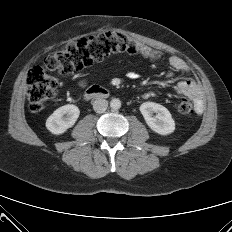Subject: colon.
<instances>
[{
    "instance_id": "obj_1",
    "label": "colon",
    "mask_w": 232,
    "mask_h": 232,
    "mask_svg": "<svg viewBox=\"0 0 232 232\" xmlns=\"http://www.w3.org/2000/svg\"><path fill=\"white\" fill-rule=\"evenodd\" d=\"M120 52L141 53L151 59L160 56L157 50L118 31L69 42L50 53L42 65L35 66L28 72L26 84L30 110L40 111L57 93L58 81L49 71L61 75L78 72L102 61L110 54ZM177 110L184 116L193 114V106L187 99L179 102Z\"/></svg>"
}]
</instances>
